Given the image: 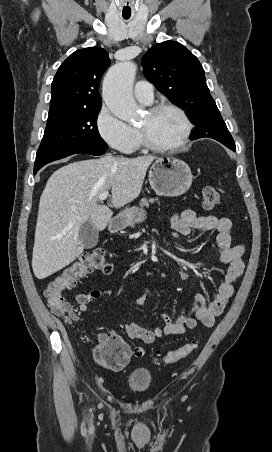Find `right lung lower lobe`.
Segmentation results:
<instances>
[{
    "mask_svg": "<svg viewBox=\"0 0 272 452\" xmlns=\"http://www.w3.org/2000/svg\"><path fill=\"white\" fill-rule=\"evenodd\" d=\"M105 152H106V150H92V149H88L85 147H72V148H69V149H66L63 151H59V152L38 154V155H36V160H35V165H34V174H36L37 171L44 165H46L52 161L65 158L72 154L86 153V154L98 156V155L104 154Z\"/></svg>",
    "mask_w": 272,
    "mask_h": 452,
    "instance_id": "right-lung-lower-lobe-1",
    "label": "right lung lower lobe"
}]
</instances>
